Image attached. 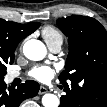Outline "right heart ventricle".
<instances>
[{
    "label": "right heart ventricle",
    "instance_id": "1",
    "mask_svg": "<svg viewBox=\"0 0 107 107\" xmlns=\"http://www.w3.org/2000/svg\"><path fill=\"white\" fill-rule=\"evenodd\" d=\"M41 33L48 46L56 42H63L61 32L53 26H45Z\"/></svg>",
    "mask_w": 107,
    "mask_h": 107
}]
</instances>
